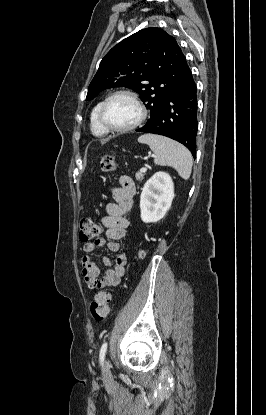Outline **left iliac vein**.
Segmentation results:
<instances>
[{
    "mask_svg": "<svg viewBox=\"0 0 266 415\" xmlns=\"http://www.w3.org/2000/svg\"><path fill=\"white\" fill-rule=\"evenodd\" d=\"M108 370H109L108 364H107V361H105L104 367H103V372L106 374L108 372Z\"/></svg>",
    "mask_w": 266,
    "mask_h": 415,
    "instance_id": "1",
    "label": "left iliac vein"
}]
</instances>
